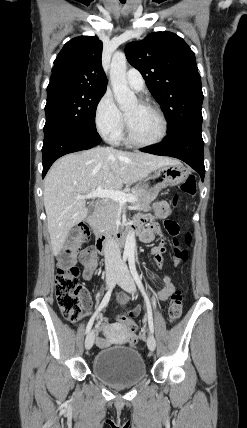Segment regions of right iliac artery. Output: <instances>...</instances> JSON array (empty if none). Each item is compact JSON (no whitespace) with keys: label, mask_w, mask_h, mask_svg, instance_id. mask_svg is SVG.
<instances>
[{"label":"right iliac artery","mask_w":247,"mask_h":428,"mask_svg":"<svg viewBox=\"0 0 247 428\" xmlns=\"http://www.w3.org/2000/svg\"><path fill=\"white\" fill-rule=\"evenodd\" d=\"M126 259H127V257L126 256H124L123 257V260H122V265H124L125 264V262H126ZM112 288L113 287H111L108 291H107V293L105 294V296H104V298H103V300H102V302H101V304L99 305V307L97 308V310H96V312H95V314L91 317V319L89 320V322H88V324H87V327H86V333H88L90 330H91V328H92V325H93V323H94V319H95V317H96V315L105 307V306H107V304H108V302H109V300H110V297H111V293H112Z\"/></svg>","instance_id":"right-iliac-artery-1"}]
</instances>
